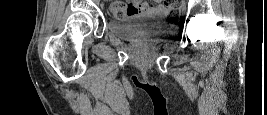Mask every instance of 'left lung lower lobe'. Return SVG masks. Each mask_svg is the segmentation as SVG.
Segmentation results:
<instances>
[{
	"instance_id": "obj_1",
	"label": "left lung lower lobe",
	"mask_w": 267,
	"mask_h": 115,
	"mask_svg": "<svg viewBox=\"0 0 267 115\" xmlns=\"http://www.w3.org/2000/svg\"><path fill=\"white\" fill-rule=\"evenodd\" d=\"M137 87H143V86L137 85ZM152 89L155 90V91H159L158 88H152Z\"/></svg>"
}]
</instances>
